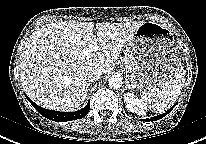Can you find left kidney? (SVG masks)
Masks as SVG:
<instances>
[{
  "instance_id": "left-kidney-1",
  "label": "left kidney",
  "mask_w": 206,
  "mask_h": 144,
  "mask_svg": "<svg viewBox=\"0 0 206 144\" xmlns=\"http://www.w3.org/2000/svg\"><path fill=\"white\" fill-rule=\"evenodd\" d=\"M124 103L129 111L135 112L137 115H146L147 107L133 93L128 92L124 94Z\"/></svg>"
}]
</instances>
